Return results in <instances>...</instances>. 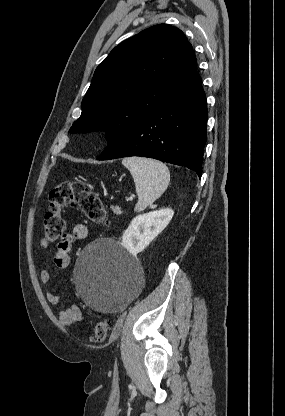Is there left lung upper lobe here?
Returning <instances> with one entry per match:
<instances>
[{
  "label": "left lung upper lobe",
  "instance_id": "obj_1",
  "mask_svg": "<svg viewBox=\"0 0 285 416\" xmlns=\"http://www.w3.org/2000/svg\"><path fill=\"white\" fill-rule=\"evenodd\" d=\"M197 74L183 32L167 24L145 29L116 46L95 70L70 133L106 131L111 143L164 104Z\"/></svg>",
  "mask_w": 285,
  "mask_h": 416
}]
</instances>
